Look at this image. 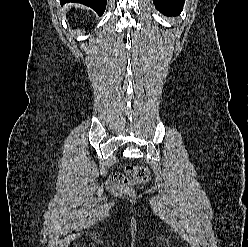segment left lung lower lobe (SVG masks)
Segmentation results:
<instances>
[{
	"label": "left lung lower lobe",
	"mask_w": 248,
	"mask_h": 247,
	"mask_svg": "<svg viewBox=\"0 0 248 247\" xmlns=\"http://www.w3.org/2000/svg\"><path fill=\"white\" fill-rule=\"evenodd\" d=\"M185 0H153L157 10L163 13H178L183 9Z\"/></svg>",
	"instance_id": "left-lung-lower-lobe-1"
}]
</instances>
